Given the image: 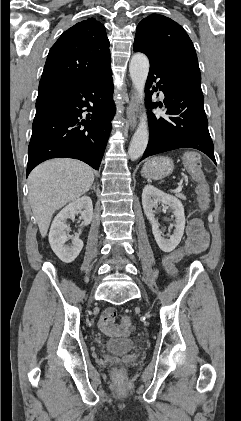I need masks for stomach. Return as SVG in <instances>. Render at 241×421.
Listing matches in <instances>:
<instances>
[{"label":"stomach","mask_w":241,"mask_h":421,"mask_svg":"<svg viewBox=\"0 0 241 421\" xmlns=\"http://www.w3.org/2000/svg\"><path fill=\"white\" fill-rule=\"evenodd\" d=\"M174 169L173 160L168 157H153L142 168V176L148 179L159 180L169 176Z\"/></svg>","instance_id":"1"}]
</instances>
